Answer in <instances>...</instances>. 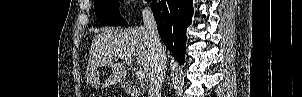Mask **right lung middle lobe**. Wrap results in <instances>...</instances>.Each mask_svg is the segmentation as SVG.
I'll list each match as a JSON object with an SVG mask.
<instances>
[{
    "label": "right lung middle lobe",
    "instance_id": "obj_1",
    "mask_svg": "<svg viewBox=\"0 0 302 97\" xmlns=\"http://www.w3.org/2000/svg\"><path fill=\"white\" fill-rule=\"evenodd\" d=\"M147 1L149 2V0ZM94 9L96 17L102 26L127 25V22L119 14V0H94Z\"/></svg>",
    "mask_w": 302,
    "mask_h": 97
}]
</instances>
